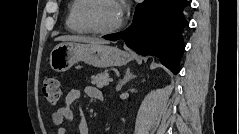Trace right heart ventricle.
<instances>
[{"label": "right heart ventricle", "mask_w": 239, "mask_h": 134, "mask_svg": "<svg viewBox=\"0 0 239 134\" xmlns=\"http://www.w3.org/2000/svg\"><path fill=\"white\" fill-rule=\"evenodd\" d=\"M86 0H73L70 3L66 25L67 28L76 34H87L89 31L81 21V11Z\"/></svg>", "instance_id": "e07e8e85"}]
</instances>
